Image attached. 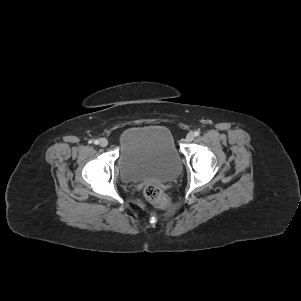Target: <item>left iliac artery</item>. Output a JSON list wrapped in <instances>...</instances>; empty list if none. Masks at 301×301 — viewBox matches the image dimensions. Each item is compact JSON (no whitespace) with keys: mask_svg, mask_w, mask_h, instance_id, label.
<instances>
[{"mask_svg":"<svg viewBox=\"0 0 301 301\" xmlns=\"http://www.w3.org/2000/svg\"><path fill=\"white\" fill-rule=\"evenodd\" d=\"M199 134H200L199 131H195V132H194V136H196V137L199 136Z\"/></svg>","mask_w":301,"mask_h":301,"instance_id":"1","label":"left iliac artery"}]
</instances>
